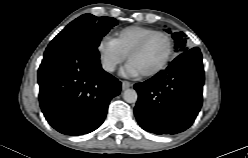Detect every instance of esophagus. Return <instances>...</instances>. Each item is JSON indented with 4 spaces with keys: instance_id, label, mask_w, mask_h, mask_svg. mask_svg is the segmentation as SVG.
<instances>
[{
    "instance_id": "1",
    "label": "esophagus",
    "mask_w": 248,
    "mask_h": 158,
    "mask_svg": "<svg viewBox=\"0 0 248 158\" xmlns=\"http://www.w3.org/2000/svg\"><path fill=\"white\" fill-rule=\"evenodd\" d=\"M132 86V84L128 81H122V90H126L128 88H130Z\"/></svg>"
}]
</instances>
